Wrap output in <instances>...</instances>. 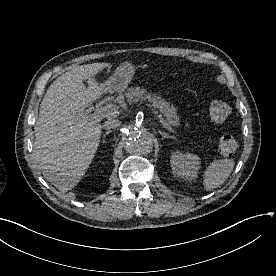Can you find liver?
Wrapping results in <instances>:
<instances>
[{
	"label": "liver",
	"mask_w": 276,
	"mask_h": 276,
	"mask_svg": "<svg viewBox=\"0 0 276 276\" xmlns=\"http://www.w3.org/2000/svg\"><path fill=\"white\" fill-rule=\"evenodd\" d=\"M109 66L92 63L67 71L50 85L40 104L34 153L45 179L62 193L78 184L97 151L101 125L90 120L85 108L104 93L95 76Z\"/></svg>",
	"instance_id": "1"
}]
</instances>
